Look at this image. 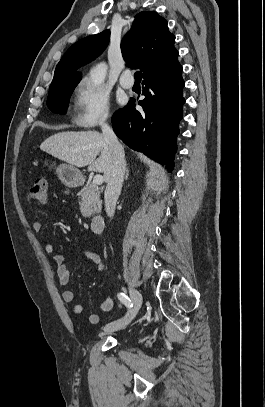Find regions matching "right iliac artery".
<instances>
[{
    "label": "right iliac artery",
    "instance_id": "1",
    "mask_svg": "<svg viewBox=\"0 0 265 407\" xmlns=\"http://www.w3.org/2000/svg\"><path fill=\"white\" fill-rule=\"evenodd\" d=\"M118 299L128 308L131 309L133 307V304L130 300V298L125 295V293H119L118 294Z\"/></svg>",
    "mask_w": 265,
    "mask_h": 407
}]
</instances>
